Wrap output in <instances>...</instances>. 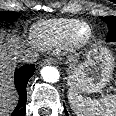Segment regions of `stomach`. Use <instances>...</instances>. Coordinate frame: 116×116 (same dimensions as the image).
Instances as JSON below:
<instances>
[{
	"label": "stomach",
	"mask_w": 116,
	"mask_h": 116,
	"mask_svg": "<svg viewBox=\"0 0 116 116\" xmlns=\"http://www.w3.org/2000/svg\"><path fill=\"white\" fill-rule=\"evenodd\" d=\"M114 59L110 51L94 46L86 54V60L69 71L68 85L73 91L86 93L101 91L110 81Z\"/></svg>",
	"instance_id": "stomach-1"
}]
</instances>
